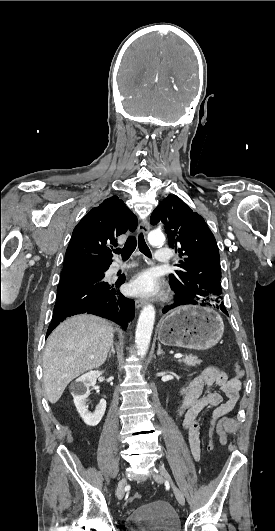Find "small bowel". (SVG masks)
I'll use <instances>...</instances> for the list:
<instances>
[{
    "label": "small bowel",
    "instance_id": "1",
    "mask_svg": "<svg viewBox=\"0 0 275 531\" xmlns=\"http://www.w3.org/2000/svg\"><path fill=\"white\" fill-rule=\"evenodd\" d=\"M240 389V379L229 378L224 371L213 366L205 368L191 380L186 395L177 407V416L182 420V428L188 435L196 461L200 459L199 430L204 411L212 408L211 417L218 421L233 410Z\"/></svg>",
    "mask_w": 275,
    "mask_h": 531
}]
</instances>
